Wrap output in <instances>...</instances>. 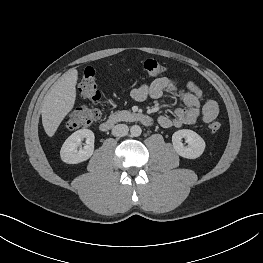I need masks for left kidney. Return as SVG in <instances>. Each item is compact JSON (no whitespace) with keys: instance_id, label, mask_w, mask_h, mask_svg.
Returning <instances> with one entry per match:
<instances>
[{"instance_id":"obj_1","label":"left kidney","mask_w":263,"mask_h":263,"mask_svg":"<svg viewBox=\"0 0 263 263\" xmlns=\"http://www.w3.org/2000/svg\"><path fill=\"white\" fill-rule=\"evenodd\" d=\"M186 139L188 146H184L182 139ZM173 148L176 153L184 158L196 159L205 149V141L196 132L189 129L176 131L172 136Z\"/></svg>"}]
</instances>
